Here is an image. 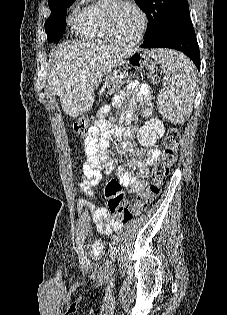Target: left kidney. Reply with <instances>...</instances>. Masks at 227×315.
<instances>
[{"instance_id":"5707ae66","label":"left kidney","mask_w":227,"mask_h":315,"mask_svg":"<svg viewBox=\"0 0 227 315\" xmlns=\"http://www.w3.org/2000/svg\"><path fill=\"white\" fill-rule=\"evenodd\" d=\"M164 132L163 123L157 118H152L138 130L137 138L142 146L150 147L155 145L157 139L161 138Z\"/></svg>"}]
</instances>
